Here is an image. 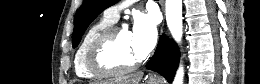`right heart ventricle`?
Here are the masks:
<instances>
[{"instance_id":"e07e8e85","label":"right heart ventricle","mask_w":260,"mask_h":84,"mask_svg":"<svg viewBox=\"0 0 260 84\" xmlns=\"http://www.w3.org/2000/svg\"><path fill=\"white\" fill-rule=\"evenodd\" d=\"M113 21L109 20L103 15L97 22H95L85 33L82 41L75 54V71L77 75L83 79H98L99 75L90 71L88 66L89 50L94 39L106 28L110 27Z\"/></svg>"}]
</instances>
